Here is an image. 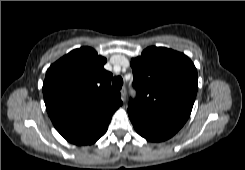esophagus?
Instances as JSON below:
<instances>
[{
    "instance_id": "1",
    "label": "esophagus",
    "mask_w": 245,
    "mask_h": 170,
    "mask_svg": "<svg viewBox=\"0 0 245 170\" xmlns=\"http://www.w3.org/2000/svg\"><path fill=\"white\" fill-rule=\"evenodd\" d=\"M120 94H121L122 101H124L125 100V97H126V88L125 87H123L120 90Z\"/></svg>"
}]
</instances>
